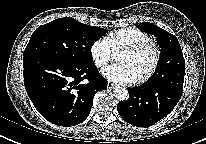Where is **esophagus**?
Wrapping results in <instances>:
<instances>
[{
  "mask_svg": "<svg viewBox=\"0 0 206 144\" xmlns=\"http://www.w3.org/2000/svg\"><path fill=\"white\" fill-rule=\"evenodd\" d=\"M107 87H108V89H113L116 87V85L113 82H108Z\"/></svg>",
  "mask_w": 206,
  "mask_h": 144,
  "instance_id": "1",
  "label": "esophagus"
}]
</instances>
